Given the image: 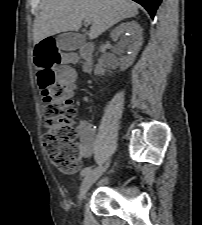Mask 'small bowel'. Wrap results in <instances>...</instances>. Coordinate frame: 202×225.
<instances>
[{"label": "small bowel", "instance_id": "small-bowel-1", "mask_svg": "<svg viewBox=\"0 0 202 225\" xmlns=\"http://www.w3.org/2000/svg\"><path fill=\"white\" fill-rule=\"evenodd\" d=\"M59 72L62 74L72 72V69L61 68ZM65 82L70 89L75 88V83L72 79H66ZM77 130L79 133L80 158L85 160L90 158L99 143V139L95 135L94 126L86 120H81L77 124Z\"/></svg>", "mask_w": 202, "mask_h": 225}]
</instances>
